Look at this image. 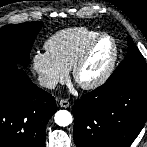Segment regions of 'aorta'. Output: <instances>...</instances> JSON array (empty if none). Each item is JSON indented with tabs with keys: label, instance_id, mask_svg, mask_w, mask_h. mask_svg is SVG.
Returning a JSON list of instances; mask_svg holds the SVG:
<instances>
[{
	"label": "aorta",
	"instance_id": "obj_1",
	"mask_svg": "<svg viewBox=\"0 0 147 147\" xmlns=\"http://www.w3.org/2000/svg\"><path fill=\"white\" fill-rule=\"evenodd\" d=\"M54 120L57 125L66 127L72 123V115L67 110H59L55 113Z\"/></svg>",
	"mask_w": 147,
	"mask_h": 147
}]
</instances>
